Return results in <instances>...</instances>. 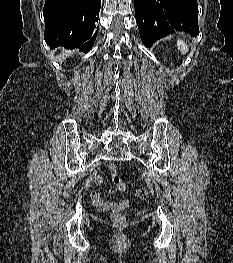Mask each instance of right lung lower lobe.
Here are the masks:
<instances>
[{
  "label": "right lung lower lobe",
  "mask_w": 233,
  "mask_h": 263,
  "mask_svg": "<svg viewBox=\"0 0 233 263\" xmlns=\"http://www.w3.org/2000/svg\"><path fill=\"white\" fill-rule=\"evenodd\" d=\"M101 0H46L45 41L50 48H79L87 53L97 36Z\"/></svg>",
  "instance_id": "obj_1"
}]
</instances>
